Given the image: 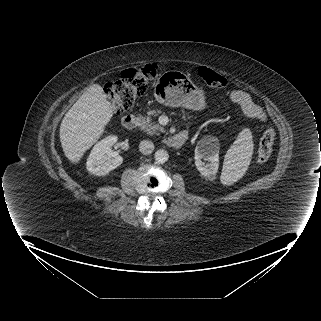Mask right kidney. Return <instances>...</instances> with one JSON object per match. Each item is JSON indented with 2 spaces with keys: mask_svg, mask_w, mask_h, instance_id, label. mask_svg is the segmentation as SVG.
<instances>
[{
  "mask_svg": "<svg viewBox=\"0 0 321 321\" xmlns=\"http://www.w3.org/2000/svg\"><path fill=\"white\" fill-rule=\"evenodd\" d=\"M117 142V136L111 135L98 142L87 159V170L97 176L105 175L120 166L123 158L111 147Z\"/></svg>",
  "mask_w": 321,
  "mask_h": 321,
  "instance_id": "right-kidney-1",
  "label": "right kidney"
}]
</instances>
